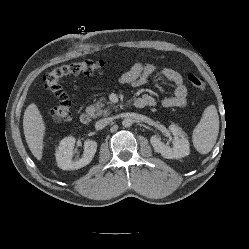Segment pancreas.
Masks as SVG:
<instances>
[{"label": "pancreas", "instance_id": "pancreas-1", "mask_svg": "<svg viewBox=\"0 0 249 249\" xmlns=\"http://www.w3.org/2000/svg\"><path fill=\"white\" fill-rule=\"evenodd\" d=\"M106 104L108 105L107 107H105ZM116 108L117 106H115L112 102H107L104 99H100L93 106H91V109L94 112L92 116H107L112 110H116Z\"/></svg>", "mask_w": 249, "mask_h": 249}]
</instances>
